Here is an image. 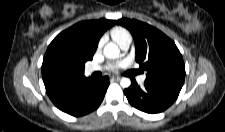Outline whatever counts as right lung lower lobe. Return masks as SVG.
Wrapping results in <instances>:
<instances>
[{
	"label": "right lung lower lobe",
	"instance_id": "98d812e1",
	"mask_svg": "<svg viewBox=\"0 0 225 132\" xmlns=\"http://www.w3.org/2000/svg\"><path fill=\"white\" fill-rule=\"evenodd\" d=\"M108 86L107 76L98 79L84 76L48 96L57 108L78 117L99 107Z\"/></svg>",
	"mask_w": 225,
	"mask_h": 132
}]
</instances>
